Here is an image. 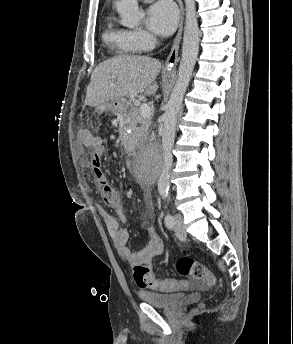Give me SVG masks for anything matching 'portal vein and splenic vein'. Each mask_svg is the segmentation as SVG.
Masks as SVG:
<instances>
[{
  "label": "portal vein and splenic vein",
  "mask_w": 293,
  "mask_h": 344,
  "mask_svg": "<svg viewBox=\"0 0 293 344\" xmlns=\"http://www.w3.org/2000/svg\"><path fill=\"white\" fill-rule=\"evenodd\" d=\"M140 111L143 118H149L152 114V109L147 103H143L140 106Z\"/></svg>",
  "instance_id": "portal-vein-and-splenic-vein-1"
}]
</instances>
